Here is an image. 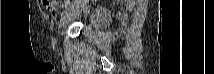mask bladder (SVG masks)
<instances>
[{
  "label": "bladder",
  "mask_w": 214,
  "mask_h": 74,
  "mask_svg": "<svg viewBox=\"0 0 214 74\" xmlns=\"http://www.w3.org/2000/svg\"><path fill=\"white\" fill-rule=\"evenodd\" d=\"M86 17V26L92 30L100 28L108 20V14L100 9L92 10Z\"/></svg>",
  "instance_id": "bladder-1"
}]
</instances>
